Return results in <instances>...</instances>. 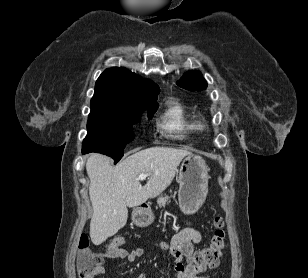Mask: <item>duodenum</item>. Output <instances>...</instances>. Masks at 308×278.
Masks as SVG:
<instances>
[{
    "label": "duodenum",
    "instance_id": "obj_1",
    "mask_svg": "<svg viewBox=\"0 0 308 278\" xmlns=\"http://www.w3.org/2000/svg\"><path fill=\"white\" fill-rule=\"evenodd\" d=\"M146 210H147V206L145 204L141 205L138 208L137 218L141 217L145 213Z\"/></svg>",
    "mask_w": 308,
    "mask_h": 278
}]
</instances>
